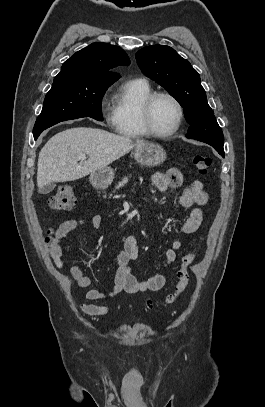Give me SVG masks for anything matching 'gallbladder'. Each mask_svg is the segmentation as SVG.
<instances>
[{
  "instance_id": "gallbladder-1",
  "label": "gallbladder",
  "mask_w": 265,
  "mask_h": 407,
  "mask_svg": "<svg viewBox=\"0 0 265 407\" xmlns=\"http://www.w3.org/2000/svg\"><path fill=\"white\" fill-rule=\"evenodd\" d=\"M55 187H56V185H55L54 183H49V184H46V185L43 186V187H40L39 190H38V192H39L40 194H48V193H50L51 191H53Z\"/></svg>"
}]
</instances>
